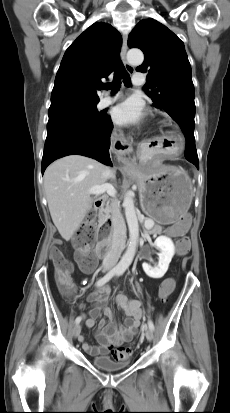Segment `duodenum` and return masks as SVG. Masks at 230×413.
Segmentation results:
<instances>
[{
  "label": "duodenum",
  "mask_w": 230,
  "mask_h": 413,
  "mask_svg": "<svg viewBox=\"0 0 230 413\" xmlns=\"http://www.w3.org/2000/svg\"><path fill=\"white\" fill-rule=\"evenodd\" d=\"M106 199L103 197H99L94 201V206L97 210L102 211L105 206ZM110 233V221L108 219H104L102 223L101 230L99 232V241L95 247V254L99 258H103L107 253L108 249V237Z\"/></svg>",
  "instance_id": "duodenum-1"
}]
</instances>
